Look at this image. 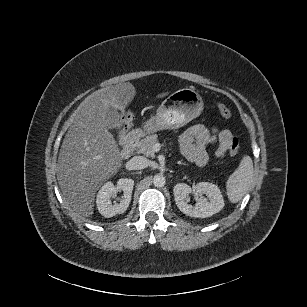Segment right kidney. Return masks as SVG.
I'll return each instance as SVG.
<instances>
[{"label": "right kidney", "mask_w": 307, "mask_h": 307, "mask_svg": "<svg viewBox=\"0 0 307 307\" xmlns=\"http://www.w3.org/2000/svg\"><path fill=\"white\" fill-rule=\"evenodd\" d=\"M133 185L132 179H120L118 186L123 191V198L120 203L112 205L110 197L115 191V186L112 182L103 183L96 195V208L99 213L105 217L123 213L130 204Z\"/></svg>", "instance_id": "obj_1"}]
</instances>
